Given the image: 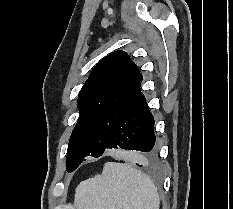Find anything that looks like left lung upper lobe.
I'll list each match as a JSON object with an SVG mask.
<instances>
[{"label":"left lung upper lobe","instance_id":"5c2ea615","mask_svg":"<svg viewBox=\"0 0 233 209\" xmlns=\"http://www.w3.org/2000/svg\"><path fill=\"white\" fill-rule=\"evenodd\" d=\"M142 82L135 63L123 51L104 57L78 97L79 119L68 144L66 170L73 172L85 157H100L110 135L136 99Z\"/></svg>","mask_w":233,"mask_h":209}]
</instances>
